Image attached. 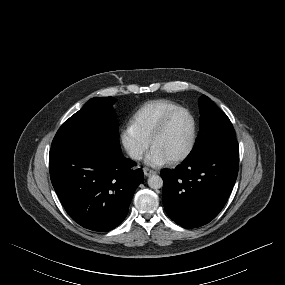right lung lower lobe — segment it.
Segmentation results:
<instances>
[{
  "label": "right lung lower lobe",
  "mask_w": 285,
  "mask_h": 285,
  "mask_svg": "<svg viewBox=\"0 0 285 285\" xmlns=\"http://www.w3.org/2000/svg\"><path fill=\"white\" fill-rule=\"evenodd\" d=\"M121 153L87 146L50 150L52 185L70 217L84 228L107 232L126 217L143 180L141 169Z\"/></svg>",
  "instance_id": "obj_1"
}]
</instances>
